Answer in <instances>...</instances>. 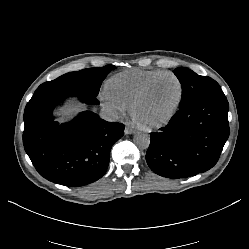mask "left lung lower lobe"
Here are the masks:
<instances>
[{
    "label": "left lung lower lobe",
    "mask_w": 249,
    "mask_h": 249,
    "mask_svg": "<svg viewBox=\"0 0 249 249\" xmlns=\"http://www.w3.org/2000/svg\"><path fill=\"white\" fill-rule=\"evenodd\" d=\"M228 101L212 94L179 107L170 123L151 133L146 161L156 174L187 178L212 168L229 137Z\"/></svg>",
    "instance_id": "obj_1"
}]
</instances>
